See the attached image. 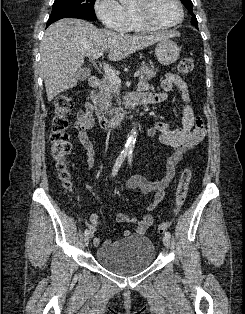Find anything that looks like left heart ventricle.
I'll return each instance as SVG.
<instances>
[{
	"mask_svg": "<svg viewBox=\"0 0 245 314\" xmlns=\"http://www.w3.org/2000/svg\"><path fill=\"white\" fill-rule=\"evenodd\" d=\"M132 7H145L148 15L159 23H175L181 17L179 7L174 0H150L147 5H144L141 0H135Z\"/></svg>",
	"mask_w": 245,
	"mask_h": 314,
	"instance_id": "b2bd125f",
	"label": "left heart ventricle"
}]
</instances>
